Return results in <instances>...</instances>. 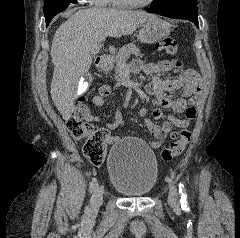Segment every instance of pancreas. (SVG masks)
<instances>
[{
    "mask_svg": "<svg viewBox=\"0 0 240 238\" xmlns=\"http://www.w3.org/2000/svg\"><path fill=\"white\" fill-rule=\"evenodd\" d=\"M134 54L135 56H141L140 50L133 43H129L119 49L117 55L115 56V79L116 81L121 80V71L126 67V62L129 59L130 55Z\"/></svg>",
    "mask_w": 240,
    "mask_h": 238,
    "instance_id": "cf45deb5",
    "label": "pancreas"
}]
</instances>
